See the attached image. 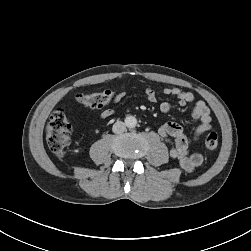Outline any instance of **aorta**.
Listing matches in <instances>:
<instances>
[{"label":"aorta","instance_id":"762f6f07","mask_svg":"<svg viewBox=\"0 0 251 251\" xmlns=\"http://www.w3.org/2000/svg\"><path fill=\"white\" fill-rule=\"evenodd\" d=\"M125 125L128 128H134L137 125V119L134 116H127L125 118Z\"/></svg>","mask_w":251,"mask_h":251}]
</instances>
